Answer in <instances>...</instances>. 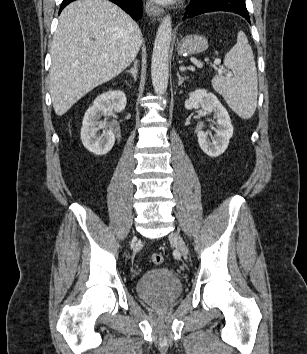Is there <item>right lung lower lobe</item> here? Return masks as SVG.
Listing matches in <instances>:
<instances>
[{
    "label": "right lung lower lobe",
    "mask_w": 307,
    "mask_h": 354,
    "mask_svg": "<svg viewBox=\"0 0 307 354\" xmlns=\"http://www.w3.org/2000/svg\"><path fill=\"white\" fill-rule=\"evenodd\" d=\"M75 0H63L60 11L69 3ZM126 11L133 19L138 20L142 17L141 0H110Z\"/></svg>",
    "instance_id": "right-lung-lower-lobe-1"
}]
</instances>
